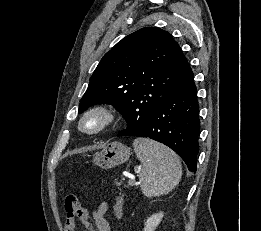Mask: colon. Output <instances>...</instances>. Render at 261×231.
Masks as SVG:
<instances>
[{
    "instance_id": "obj_1",
    "label": "colon",
    "mask_w": 261,
    "mask_h": 231,
    "mask_svg": "<svg viewBox=\"0 0 261 231\" xmlns=\"http://www.w3.org/2000/svg\"><path fill=\"white\" fill-rule=\"evenodd\" d=\"M121 208L122 201L119 199L116 203V214H118ZM64 212L66 220L73 221L76 218H79V220L86 225L89 231H94V229L91 227L89 219L86 218L84 209L82 208L76 195L69 194L66 196L64 202Z\"/></svg>"
}]
</instances>
